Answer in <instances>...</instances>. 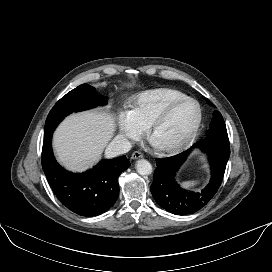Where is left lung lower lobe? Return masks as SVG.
I'll return each mask as SVG.
<instances>
[{"label":"left lung lower lobe","mask_w":272,"mask_h":272,"mask_svg":"<svg viewBox=\"0 0 272 272\" xmlns=\"http://www.w3.org/2000/svg\"><path fill=\"white\" fill-rule=\"evenodd\" d=\"M195 147L206 151L211 163L210 182L198 192L182 189L175 179L177 170L192 148L172 157L156 159L151 193L162 208L175 215L192 214L207 205L221 185L230 156L229 147L219 143L201 140Z\"/></svg>","instance_id":"1"}]
</instances>
